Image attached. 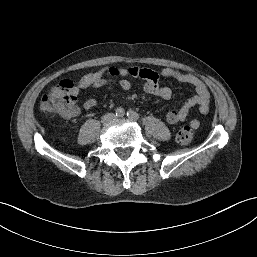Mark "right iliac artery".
<instances>
[{"label": "right iliac artery", "mask_w": 257, "mask_h": 257, "mask_svg": "<svg viewBox=\"0 0 257 257\" xmlns=\"http://www.w3.org/2000/svg\"><path fill=\"white\" fill-rule=\"evenodd\" d=\"M124 114H125V111H124L123 108H117V109H116V116H118V117H123Z\"/></svg>", "instance_id": "82829eb1"}]
</instances>
